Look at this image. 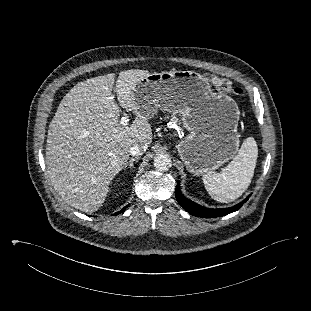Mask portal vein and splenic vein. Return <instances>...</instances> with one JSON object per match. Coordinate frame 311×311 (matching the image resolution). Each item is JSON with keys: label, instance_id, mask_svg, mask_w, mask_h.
I'll list each match as a JSON object with an SVG mask.
<instances>
[{"label": "portal vein and splenic vein", "instance_id": "1", "mask_svg": "<svg viewBox=\"0 0 311 311\" xmlns=\"http://www.w3.org/2000/svg\"><path fill=\"white\" fill-rule=\"evenodd\" d=\"M129 122V117L128 116H123L120 120V124L124 127H126L128 125Z\"/></svg>", "mask_w": 311, "mask_h": 311}]
</instances>
